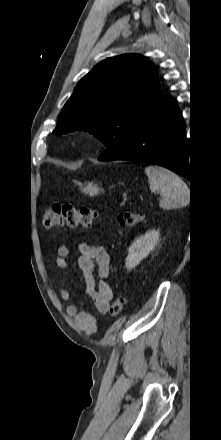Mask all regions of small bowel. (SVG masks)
<instances>
[{
	"mask_svg": "<svg viewBox=\"0 0 221 440\" xmlns=\"http://www.w3.org/2000/svg\"><path fill=\"white\" fill-rule=\"evenodd\" d=\"M78 251V267L84 280L85 293L92 300L97 313L100 316H106L113 299V291L108 282L110 257L104 247L88 243H80ZM68 256L69 248L64 244L61 245L55 260L56 266L63 270L69 269ZM60 296L67 301L71 298V293L69 290L61 289ZM66 313L74 318L77 327L86 334L96 333L98 324L94 315L86 311H79L73 304L66 307Z\"/></svg>",
	"mask_w": 221,
	"mask_h": 440,
	"instance_id": "c3829d8e",
	"label": "small bowel"
}]
</instances>
